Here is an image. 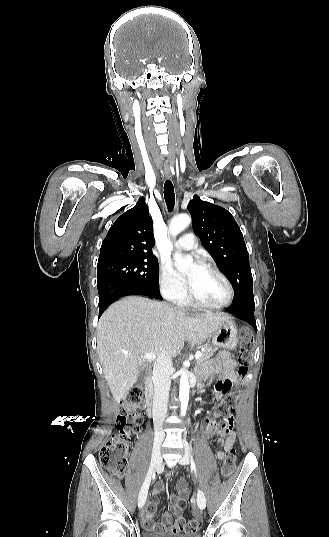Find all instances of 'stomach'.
I'll return each mask as SVG.
<instances>
[{"mask_svg": "<svg viewBox=\"0 0 329 537\" xmlns=\"http://www.w3.org/2000/svg\"><path fill=\"white\" fill-rule=\"evenodd\" d=\"M238 336V327L230 319L219 326V328L211 335V339L215 346L234 349L238 342Z\"/></svg>", "mask_w": 329, "mask_h": 537, "instance_id": "1", "label": "stomach"}]
</instances>
